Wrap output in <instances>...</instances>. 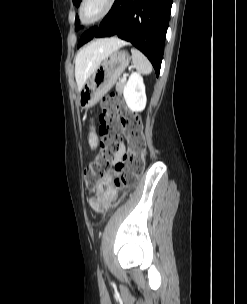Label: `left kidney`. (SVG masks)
<instances>
[{
    "label": "left kidney",
    "instance_id": "1",
    "mask_svg": "<svg viewBox=\"0 0 247 304\" xmlns=\"http://www.w3.org/2000/svg\"><path fill=\"white\" fill-rule=\"evenodd\" d=\"M124 99L128 108L134 112H140L146 106V93L143 78L139 73H132L124 86Z\"/></svg>",
    "mask_w": 247,
    "mask_h": 304
}]
</instances>
